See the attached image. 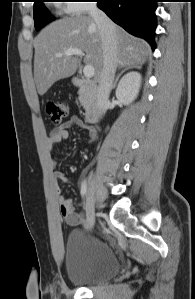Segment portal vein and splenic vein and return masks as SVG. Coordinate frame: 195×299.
I'll list each match as a JSON object with an SVG mask.
<instances>
[{"instance_id": "portal-vein-and-splenic-vein-1", "label": "portal vein and splenic vein", "mask_w": 195, "mask_h": 299, "mask_svg": "<svg viewBox=\"0 0 195 299\" xmlns=\"http://www.w3.org/2000/svg\"><path fill=\"white\" fill-rule=\"evenodd\" d=\"M72 55H77V56H84V52L80 49H76V48H70V49H67L64 53H57L56 56L57 57H61V56H72ZM94 67L90 64H86L84 66V69H83V73H84V76L86 78H92L94 76Z\"/></svg>"}]
</instances>
